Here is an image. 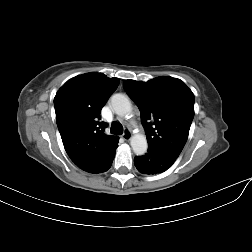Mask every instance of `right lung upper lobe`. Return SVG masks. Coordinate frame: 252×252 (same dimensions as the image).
<instances>
[{"instance_id":"cb5924a9","label":"right lung upper lobe","mask_w":252,"mask_h":252,"mask_svg":"<svg viewBox=\"0 0 252 252\" xmlns=\"http://www.w3.org/2000/svg\"><path fill=\"white\" fill-rule=\"evenodd\" d=\"M119 85L118 78L87 73L68 80L56 93V122L71 160L89 173L104 172L119 138L104 133L100 111Z\"/></svg>"}]
</instances>
